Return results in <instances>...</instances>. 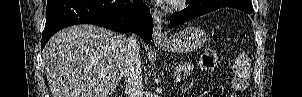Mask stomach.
<instances>
[{
    "mask_svg": "<svg viewBox=\"0 0 302 97\" xmlns=\"http://www.w3.org/2000/svg\"><path fill=\"white\" fill-rule=\"evenodd\" d=\"M206 40L204 31L187 27L169 37L166 42L157 43V46L163 51L187 54L201 49Z\"/></svg>",
    "mask_w": 302,
    "mask_h": 97,
    "instance_id": "0dacf381",
    "label": "stomach"
}]
</instances>
